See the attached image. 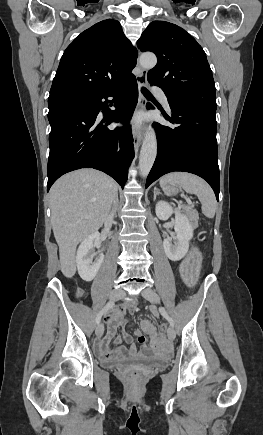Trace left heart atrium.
Listing matches in <instances>:
<instances>
[{
    "instance_id": "obj_1",
    "label": "left heart atrium",
    "mask_w": 263,
    "mask_h": 435,
    "mask_svg": "<svg viewBox=\"0 0 263 435\" xmlns=\"http://www.w3.org/2000/svg\"><path fill=\"white\" fill-rule=\"evenodd\" d=\"M134 122H135L136 125L138 124V120H135Z\"/></svg>"
}]
</instances>
